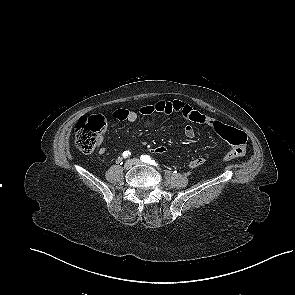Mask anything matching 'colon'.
<instances>
[{"mask_svg":"<svg viewBox=\"0 0 295 295\" xmlns=\"http://www.w3.org/2000/svg\"><path fill=\"white\" fill-rule=\"evenodd\" d=\"M106 122L101 115L83 116L76 123L75 139L77 147L83 153H91L98 146L105 130ZM219 133L232 148L224 155V159H238L246 154V135L239 129L228 125L219 126ZM162 146L154 149L155 153L165 152Z\"/></svg>","mask_w":295,"mask_h":295,"instance_id":"1","label":"colon"}]
</instances>
